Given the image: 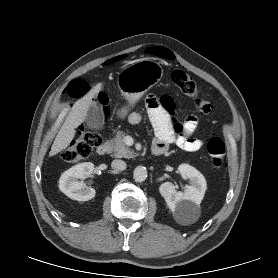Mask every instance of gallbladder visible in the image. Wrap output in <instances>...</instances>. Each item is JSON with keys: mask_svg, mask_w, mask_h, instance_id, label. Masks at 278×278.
Returning <instances> with one entry per match:
<instances>
[{"mask_svg": "<svg viewBox=\"0 0 278 278\" xmlns=\"http://www.w3.org/2000/svg\"><path fill=\"white\" fill-rule=\"evenodd\" d=\"M86 126L91 130H101L104 125L103 109L97 102H92L85 118Z\"/></svg>", "mask_w": 278, "mask_h": 278, "instance_id": "obj_1", "label": "gallbladder"}]
</instances>
